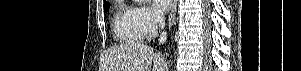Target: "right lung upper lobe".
<instances>
[{
  "mask_svg": "<svg viewBox=\"0 0 301 71\" xmlns=\"http://www.w3.org/2000/svg\"><path fill=\"white\" fill-rule=\"evenodd\" d=\"M106 4H108V2L105 1V2H104V5H106Z\"/></svg>",
  "mask_w": 301,
  "mask_h": 71,
  "instance_id": "cb5924a9",
  "label": "right lung upper lobe"
}]
</instances>
